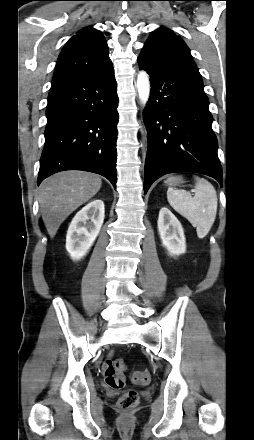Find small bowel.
Instances as JSON below:
<instances>
[{
  "instance_id": "small-bowel-1",
  "label": "small bowel",
  "mask_w": 254,
  "mask_h": 440,
  "mask_svg": "<svg viewBox=\"0 0 254 440\" xmlns=\"http://www.w3.org/2000/svg\"><path fill=\"white\" fill-rule=\"evenodd\" d=\"M112 357L113 354L110 353L108 355V357L103 361L102 364V376L105 380V383L112 388H116L114 387V382L117 380V378L115 377V372L113 370V366H112Z\"/></svg>"
}]
</instances>
